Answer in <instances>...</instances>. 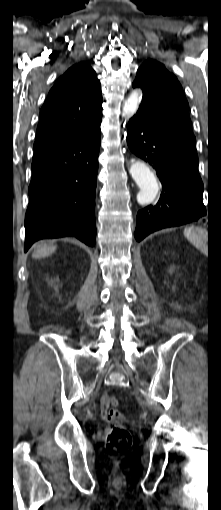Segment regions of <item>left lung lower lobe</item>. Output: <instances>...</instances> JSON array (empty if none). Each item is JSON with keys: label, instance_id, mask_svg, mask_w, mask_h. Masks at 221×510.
<instances>
[{"label": "left lung lower lobe", "instance_id": "obj_1", "mask_svg": "<svg viewBox=\"0 0 221 510\" xmlns=\"http://www.w3.org/2000/svg\"><path fill=\"white\" fill-rule=\"evenodd\" d=\"M127 144L136 156L153 166L163 186L157 204L137 214V241L154 231L190 223L206 215L197 153L160 136L137 115L129 120Z\"/></svg>", "mask_w": 221, "mask_h": 510}]
</instances>
